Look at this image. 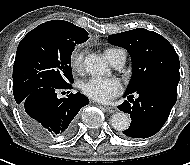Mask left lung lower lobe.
<instances>
[{
    "instance_id": "obj_1",
    "label": "left lung lower lobe",
    "mask_w": 190,
    "mask_h": 165,
    "mask_svg": "<svg viewBox=\"0 0 190 165\" xmlns=\"http://www.w3.org/2000/svg\"><path fill=\"white\" fill-rule=\"evenodd\" d=\"M177 80L161 78L145 83L128 96L119 110L130 114V127L123 133L132 138H148L165 124L177 99ZM133 93L139 96L134 101Z\"/></svg>"
}]
</instances>
